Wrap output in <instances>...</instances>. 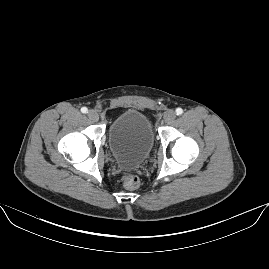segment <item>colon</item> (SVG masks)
I'll return each mask as SVG.
<instances>
[{
	"label": "colon",
	"mask_w": 269,
	"mask_h": 269,
	"mask_svg": "<svg viewBox=\"0 0 269 269\" xmlns=\"http://www.w3.org/2000/svg\"><path fill=\"white\" fill-rule=\"evenodd\" d=\"M121 181L126 189L137 190L142 185V180L139 176L131 173H125L121 177Z\"/></svg>",
	"instance_id": "obj_1"
}]
</instances>
